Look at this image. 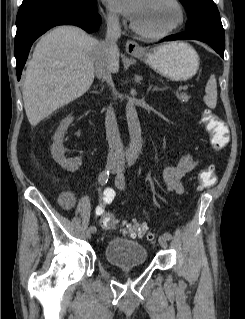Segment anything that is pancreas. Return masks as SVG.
<instances>
[{
	"label": "pancreas",
	"mask_w": 245,
	"mask_h": 319,
	"mask_svg": "<svg viewBox=\"0 0 245 319\" xmlns=\"http://www.w3.org/2000/svg\"><path fill=\"white\" fill-rule=\"evenodd\" d=\"M176 97L181 101V102H187L189 99V96L183 93L176 94Z\"/></svg>",
	"instance_id": "pancreas-1"
}]
</instances>
